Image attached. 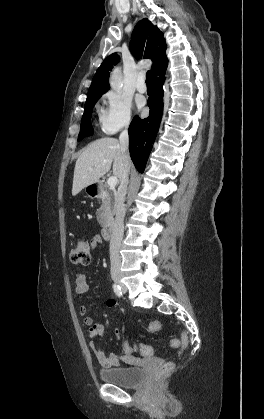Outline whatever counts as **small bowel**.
Listing matches in <instances>:
<instances>
[{"mask_svg": "<svg viewBox=\"0 0 264 419\" xmlns=\"http://www.w3.org/2000/svg\"><path fill=\"white\" fill-rule=\"evenodd\" d=\"M103 239L101 236L96 235L92 238L91 245L93 248H96L97 246L103 244ZM89 286L87 283L86 276L82 273H76L75 275V291L78 294H83L88 290ZM106 306L110 309L114 308L116 306V303L114 300H108L106 302ZM79 314L83 317V322L85 325L89 328V337H90V346L99 362V364L102 367L110 368L120 365V358L116 354H109L107 355L102 350L96 348L95 346V340L100 337L103 334L104 328L103 325L100 323H96L94 319L88 315V309L86 306L81 305L78 308ZM158 331L160 330V324L158 323ZM151 330V327H150ZM114 337L116 339L120 338V331L116 329L114 331ZM123 351H124V358L127 359L131 356V354L134 351H138L142 356L145 357H152L155 354V350L153 347L139 344L138 346H133L129 342H125L123 345Z\"/></svg>", "mask_w": 264, "mask_h": 419, "instance_id": "obj_1", "label": "small bowel"}]
</instances>
